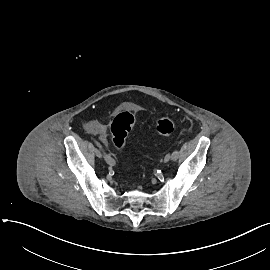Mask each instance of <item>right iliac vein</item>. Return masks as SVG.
<instances>
[{
    "mask_svg": "<svg viewBox=\"0 0 270 270\" xmlns=\"http://www.w3.org/2000/svg\"><path fill=\"white\" fill-rule=\"evenodd\" d=\"M95 154L98 158H101L102 157V153L99 149H95Z\"/></svg>",
    "mask_w": 270,
    "mask_h": 270,
    "instance_id": "1",
    "label": "right iliac vein"
}]
</instances>
